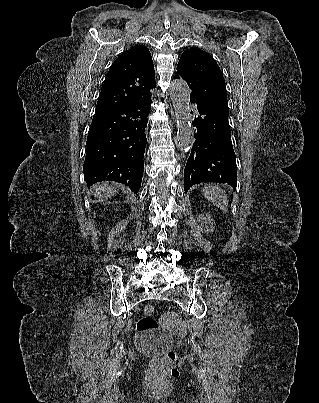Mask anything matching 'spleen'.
Segmentation results:
<instances>
[{
    "label": "spleen",
    "mask_w": 319,
    "mask_h": 403,
    "mask_svg": "<svg viewBox=\"0 0 319 403\" xmlns=\"http://www.w3.org/2000/svg\"><path fill=\"white\" fill-rule=\"evenodd\" d=\"M203 195L206 199L211 201L219 207L224 213L228 211V197L222 188L217 185H207L203 188Z\"/></svg>",
    "instance_id": "obj_1"
}]
</instances>
